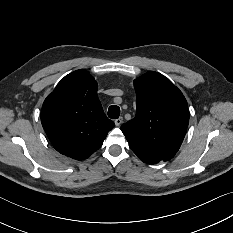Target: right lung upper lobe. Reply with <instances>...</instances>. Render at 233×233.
<instances>
[{"mask_svg": "<svg viewBox=\"0 0 233 233\" xmlns=\"http://www.w3.org/2000/svg\"><path fill=\"white\" fill-rule=\"evenodd\" d=\"M41 122L53 147L76 160L98 150L115 125L104 114L97 82L83 69L65 76L46 98Z\"/></svg>", "mask_w": 233, "mask_h": 233, "instance_id": "1", "label": "right lung upper lobe"}]
</instances>
